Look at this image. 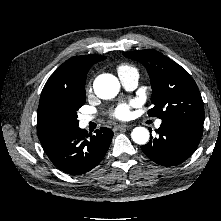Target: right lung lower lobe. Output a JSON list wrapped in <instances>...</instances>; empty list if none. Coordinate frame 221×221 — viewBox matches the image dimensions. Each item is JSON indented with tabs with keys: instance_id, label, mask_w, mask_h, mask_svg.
Listing matches in <instances>:
<instances>
[{
	"instance_id": "right-lung-lower-lobe-1",
	"label": "right lung lower lobe",
	"mask_w": 221,
	"mask_h": 221,
	"mask_svg": "<svg viewBox=\"0 0 221 221\" xmlns=\"http://www.w3.org/2000/svg\"><path fill=\"white\" fill-rule=\"evenodd\" d=\"M95 133L88 134L78 127L54 137L42 146L57 168L71 175H80L97 166L110 146L112 130L102 127Z\"/></svg>"
}]
</instances>
